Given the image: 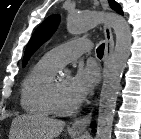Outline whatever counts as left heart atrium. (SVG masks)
<instances>
[{
  "label": "left heart atrium",
  "mask_w": 141,
  "mask_h": 139,
  "mask_svg": "<svg viewBox=\"0 0 141 139\" xmlns=\"http://www.w3.org/2000/svg\"><path fill=\"white\" fill-rule=\"evenodd\" d=\"M98 81L95 66L81 67L71 80V94L76 103L83 102L92 92Z\"/></svg>",
  "instance_id": "39dd6f15"
}]
</instances>
